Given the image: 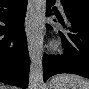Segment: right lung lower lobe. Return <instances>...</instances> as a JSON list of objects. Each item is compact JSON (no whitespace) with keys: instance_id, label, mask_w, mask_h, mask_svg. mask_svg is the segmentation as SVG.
<instances>
[{"instance_id":"98d812e1","label":"right lung lower lobe","mask_w":89,"mask_h":89,"mask_svg":"<svg viewBox=\"0 0 89 89\" xmlns=\"http://www.w3.org/2000/svg\"><path fill=\"white\" fill-rule=\"evenodd\" d=\"M0 81L26 88L30 59L24 30L27 0H0Z\"/></svg>"}]
</instances>
